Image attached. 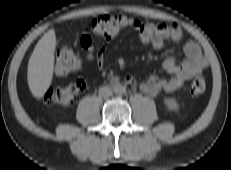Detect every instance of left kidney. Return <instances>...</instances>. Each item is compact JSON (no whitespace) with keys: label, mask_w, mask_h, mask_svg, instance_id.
Wrapping results in <instances>:
<instances>
[{"label":"left kidney","mask_w":231,"mask_h":170,"mask_svg":"<svg viewBox=\"0 0 231 170\" xmlns=\"http://www.w3.org/2000/svg\"><path fill=\"white\" fill-rule=\"evenodd\" d=\"M166 106L168 107V109L170 110H177L178 109V103L174 98H166L164 100Z\"/></svg>","instance_id":"5707ae66"}]
</instances>
